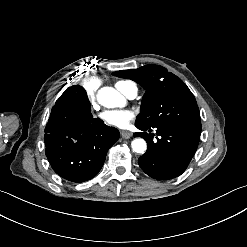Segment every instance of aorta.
<instances>
[{
    "instance_id": "aorta-1",
    "label": "aorta",
    "mask_w": 247,
    "mask_h": 247,
    "mask_svg": "<svg viewBox=\"0 0 247 247\" xmlns=\"http://www.w3.org/2000/svg\"><path fill=\"white\" fill-rule=\"evenodd\" d=\"M98 102L107 108H114L120 106L124 98L123 96L112 87H103L97 94ZM133 151L137 153H144L147 149L146 141L142 138H135L131 142Z\"/></svg>"
}]
</instances>
